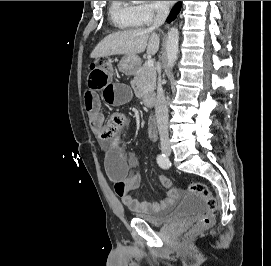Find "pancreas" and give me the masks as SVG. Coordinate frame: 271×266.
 I'll list each match as a JSON object with an SVG mask.
<instances>
[{
  "label": "pancreas",
  "instance_id": "cf45deb5",
  "mask_svg": "<svg viewBox=\"0 0 271 266\" xmlns=\"http://www.w3.org/2000/svg\"><path fill=\"white\" fill-rule=\"evenodd\" d=\"M131 86L138 98H143L153 92L156 86V68L149 67L146 63L138 67Z\"/></svg>",
  "mask_w": 271,
  "mask_h": 266
}]
</instances>
